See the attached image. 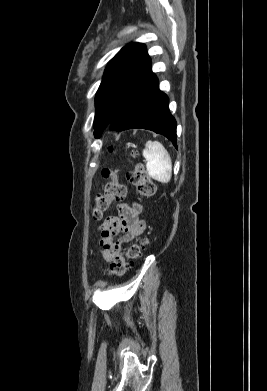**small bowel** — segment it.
I'll return each mask as SVG.
<instances>
[{"label":"small bowel","instance_id":"c3829d8e","mask_svg":"<svg viewBox=\"0 0 267 391\" xmlns=\"http://www.w3.org/2000/svg\"><path fill=\"white\" fill-rule=\"evenodd\" d=\"M118 210L119 218H107L100 227L99 249L107 262L121 252L122 244L134 240L143 233L146 227L145 222L139 218L142 210L140 204L123 203L119 205ZM118 235H120L118 239L114 240Z\"/></svg>","mask_w":267,"mask_h":391}]
</instances>
